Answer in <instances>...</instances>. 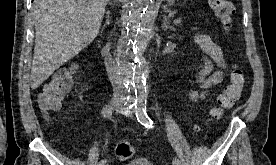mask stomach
Segmentation results:
<instances>
[{"label":"stomach","instance_id":"stomach-1","mask_svg":"<svg viewBox=\"0 0 276 165\" xmlns=\"http://www.w3.org/2000/svg\"><path fill=\"white\" fill-rule=\"evenodd\" d=\"M169 2H173L174 0H168Z\"/></svg>","mask_w":276,"mask_h":165}]
</instances>
